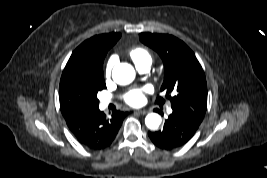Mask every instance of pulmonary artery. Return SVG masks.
I'll return each mask as SVG.
<instances>
[{
  "label": "pulmonary artery",
  "instance_id": "obj_1",
  "mask_svg": "<svg viewBox=\"0 0 267 178\" xmlns=\"http://www.w3.org/2000/svg\"><path fill=\"white\" fill-rule=\"evenodd\" d=\"M150 66H151V63L150 62H146V63H143L141 65H138L136 66L138 71L141 72V73H146L150 70ZM109 101L108 100H103L101 105L102 107H106L108 105ZM172 110L171 109H168V113H171Z\"/></svg>",
  "mask_w": 267,
  "mask_h": 178
}]
</instances>
